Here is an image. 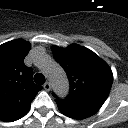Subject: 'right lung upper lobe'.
Returning a JSON list of instances; mask_svg holds the SVG:
<instances>
[{"label":"right lung upper lobe","instance_id":"1","mask_svg":"<svg viewBox=\"0 0 128 128\" xmlns=\"http://www.w3.org/2000/svg\"><path fill=\"white\" fill-rule=\"evenodd\" d=\"M31 48L22 39L0 45V120L11 121L30 108L41 86L34 84L32 69L24 64Z\"/></svg>","mask_w":128,"mask_h":128}]
</instances>
